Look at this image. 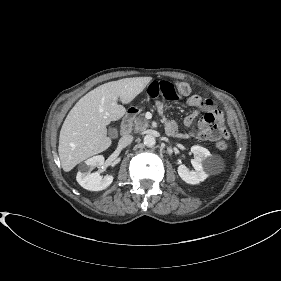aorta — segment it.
Listing matches in <instances>:
<instances>
[{
    "label": "aorta",
    "mask_w": 281,
    "mask_h": 281,
    "mask_svg": "<svg viewBox=\"0 0 281 281\" xmlns=\"http://www.w3.org/2000/svg\"><path fill=\"white\" fill-rule=\"evenodd\" d=\"M144 144L147 147H153L156 144V139L152 135H146L144 137Z\"/></svg>",
    "instance_id": "762f6f07"
}]
</instances>
